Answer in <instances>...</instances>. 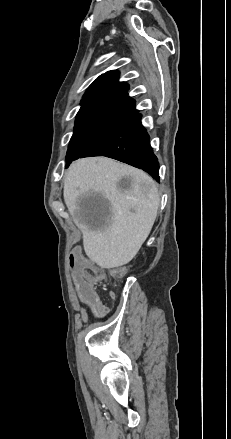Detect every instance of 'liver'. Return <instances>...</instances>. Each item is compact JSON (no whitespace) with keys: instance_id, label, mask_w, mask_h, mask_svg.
I'll use <instances>...</instances> for the list:
<instances>
[{"instance_id":"obj_1","label":"liver","mask_w":231,"mask_h":439,"mask_svg":"<svg viewBox=\"0 0 231 439\" xmlns=\"http://www.w3.org/2000/svg\"><path fill=\"white\" fill-rule=\"evenodd\" d=\"M130 177L127 191L118 187ZM100 194L106 201L101 216L82 215L81 197ZM64 201L83 235L88 258L101 268L129 263L147 239L160 203L157 183L144 171L106 157L83 158L65 174Z\"/></svg>"}]
</instances>
